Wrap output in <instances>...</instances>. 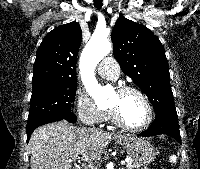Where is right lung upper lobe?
Wrapping results in <instances>:
<instances>
[{
  "instance_id": "cb5924a9",
  "label": "right lung upper lobe",
  "mask_w": 200,
  "mask_h": 169,
  "mask_svg": "<svg viewBox=\"0 0 200 169\" xmlns=\"http://www.w3.org/2000/svg\"><path fill=\"white\" fill-rule=\"evenodd\" d=\"M81 37V27L75 21L56 27L44 37L33 67V89L77 81L76 61Z\"/></svg>"
}]
</instances>
